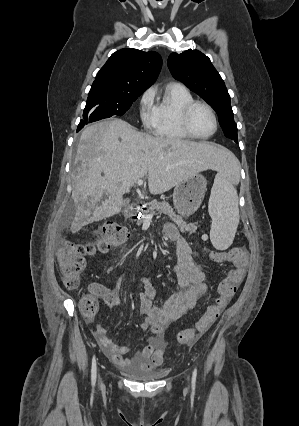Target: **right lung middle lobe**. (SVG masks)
<instances>
[{
    "instance_id": "1",
    "label": "right lung middle lobe",
    "mask_w": 299,
    "mask_h": 426,
    "mask_svg": "<svg viewBox=\"0 0 299 426\" xmlns=\"http://www.w3.org/2000/svg\"><path fill=\"white\" fill-rule=\"evenodd\" d=\"M143 92L129 93L113 88L92 86L79 125L98 121L113 115L122 116Z\"/></svg>"
}]
</instances>
